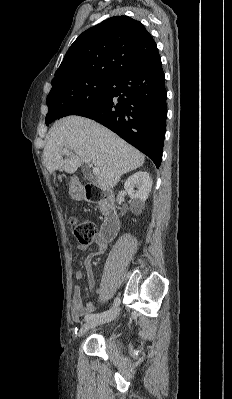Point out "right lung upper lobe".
Instances as JSON below:
<instances>
[{"instance_id": "1", "label": "right lung upper lobe", "mask_w": 232, "mask_h": 399, "mask_svg": "<svg viewBox=\"0 0 232 399\" xmlns=\"http://www.w3.org/2000/svg\"><path fill=\"white\" fill-rule=\"evenodd\" d=\"M157 51L141 22L114 16L84 31L70 46L48 95L88 80L111 78Z\"/></svg>"}]
</instances>
